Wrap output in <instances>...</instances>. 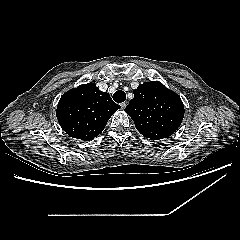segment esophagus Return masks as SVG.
I'll list each match as a JSON object with an SVG mask.
<instances>
[{
	"label": "esophagus",
	"instance_id": "1",
	"mask_svg": "<svg viewBox=\"0 0 240 240\" xmlns=\"http://www.w3.org/2000/svg\"><path fill=\"white\" fill-rule=\"evenodd\" d=\"M126 105H127V102L120 103V106H121L122 109H124L126 107Z\"/></svg>",
	"mask_w": 240,
	"mask_h": 240
}]
</instances>
